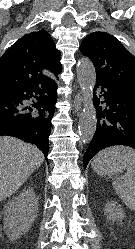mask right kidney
<instances>
[{
    "label": "right kidney",
    "instance_id": "1",
    "mask_svg": "<svg viewBox=\"0 0 135 249\" xmlns=\"http://www.w3.org/2000/svg\"><path fill=\"white\" fill-rule=\"evenodd\" d=\"M4 231L10 240H16L29 231L38 213V199L32 189L21 192L4 209Z\"/></svg>",
    "mask_w": 135,
    "mask_h": 249
}]
</instances>
